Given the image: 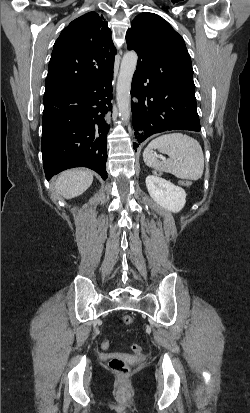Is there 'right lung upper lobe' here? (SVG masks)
Here are the masks:
<instances>
[{
  "label": "right lung upper lobe",
  "mask_w": 250,
  "mask_h": 413,
  "mask_svg": "<svg viewBox=\"0 0 250 413\" xmlns=\"http://www.w3.org/2000/svg\"><path fill=\"white\" fill-rule=\"evenodd\" d=\"M115 47L108 23L95 12L72 21L56 40L45 94L89 85L113 70Z\"/></svg>",
  "instance_id": "cb5924a9"
}]
</instances>
